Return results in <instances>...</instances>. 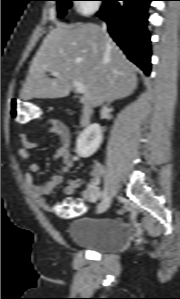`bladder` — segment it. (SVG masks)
Wrapping results in <instances>:
<instances>
[{
	"label": "bladder",
	"mask_w": 180,
	"mask_h": 299,
	"mask_svg": "<svg viewBox=\"0 0 180 299\" xmlns=\"http://www.w3.org/2000/svg\"><path fill=\"white\" fill-rule=\"evenodd\" d=\"M67 232L74 244L98 252H115L127 238L126 228L115 218L78 219Z\"/></svg>",
	"instance_id": "obj_1"
}]
</instances>
